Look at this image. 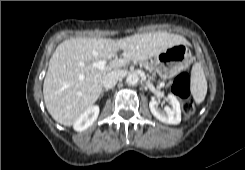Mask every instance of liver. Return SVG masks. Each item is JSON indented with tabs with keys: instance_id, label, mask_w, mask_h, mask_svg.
<instances>
[{
	"instance_id": "obj_1",
	"label": "liver",
	"mask_w": 245,
	"mask_h": 170,
	"mask_svg": "<svg viewBox=\"0 0 245 170\" xmlns=\"http://www.w3.org/2000/svg\"><path fill=\"white\" fill-rule=\"evenodd\" d=\"M178 44H188V41L181 35L165 31L116 40L70 38L63 41L49 61L43 84L44 102L49 114L64 126L73 125L98 100L103 80L109 73L120 72L131 61L155 57ZM118 50L123 51L121 58L115 57ZM112 58L103 70L92 65Z\"/></svg>"
}]
</instances>
